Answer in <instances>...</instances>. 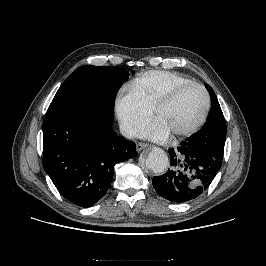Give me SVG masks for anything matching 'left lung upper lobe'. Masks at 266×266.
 <instances>
[{"instance_id":"5c2ea615","label":"left lung upper lobe","mask_w":266,"mask_h":266,"mask_svg":"<svg viewBox=\"0 0 266 266\" xmlns=\"http://www.w3.org/2000/svg\"><path fill=\"white\" fill-rule=\"evenodd\" d=\"M205 87L211 97L210 115L203 129L187 140V144L222 160L227 132L226 122L213 89L208 84H205Z\"/></svg>"}]
</instances>
